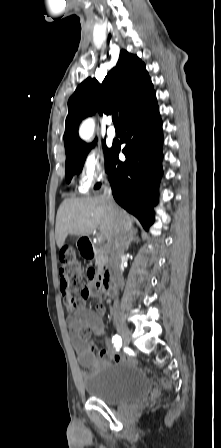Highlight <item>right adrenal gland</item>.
Returning <instances> with one entry per match:
<instances>
[{
	"mask_svg": "<svg viewBox=\"0 0 221 448\" xmlns=\"http://www.w3.org/2000/svg\"><path fill=\"white\" fill-rule=\"evenodd\" d=\"M140 241L139 237L137 236V230L131 231L128 234L127 243H126V250L129 249V246L132 242L138 243Z\"/></svg>",
	"mask_w": 221,
	"mask_h": 448,
	"instance_id": "1",
	"label": "right adrenal gland"
}]
</instances>
